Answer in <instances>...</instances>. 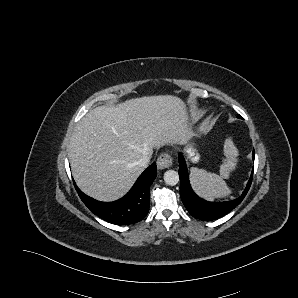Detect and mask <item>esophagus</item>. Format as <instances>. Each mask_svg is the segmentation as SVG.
<instances>
[{"instance_id":"esophagus-1","label":"esophagus","mask_w":298,"mask_h":298,"mask_svg":"<svg viewBox=\"0 0 298 298\" xmlns=\"http://www.w3.org/2000/svg\"><path fill=\"white\" fill-rule=\"evenodd\" d=\"M172 163V157L167 153L161 154L157 159V167L160 170L168 169Z\"/></svg>"}]
</instances>
